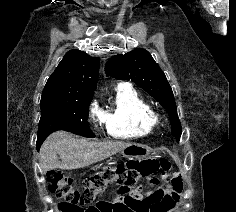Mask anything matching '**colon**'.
Returning a JSON list of instances; mask_svg holds the SVG:
<instances>
[{
  "label": "colon",
  "mask_w": 236,
  "mask_h": 212,
  "mask_svg": "<svg viewBox=\"0 0 236 212\" xmlns=\"http://www.w3.org/2000/svg\"><path fill=\"white\" fill-rule=\"evenodd\" d=\"M166 168H169L167 161H123L114 167L97 171L85 179L81 186H78L71 177L55 170L47 173L46 182L49 191L65 202L64 210L78 212V207L94 201L108 186L118 185L117 179H133V182H137V179L147 178L150 179V187L157 188L161 183L157 174Z\"/></svg>",
  "instance_id": "obj_1"
}]
</instances>
